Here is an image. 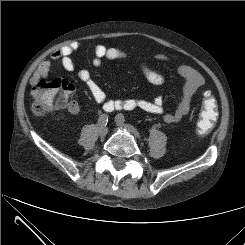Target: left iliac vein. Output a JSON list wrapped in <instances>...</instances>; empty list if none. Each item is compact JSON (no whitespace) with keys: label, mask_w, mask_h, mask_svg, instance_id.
Instances as JSON below:
<instances>
[{"label":"left iliac vein","mask_w":245,"mask_h":245,"mask_svg":"<svg viewBox=\"0 0 245 245\" xmlns=\"http://www.w3.org/2000/svg\"><path fill=\"white\" fill-rule=\"evenodd\" d=\"M115 122L117 125L130 132L135 138H139V133L131 125L125 124L124 120L119 118L118 115L115 117Z\"/></svg>","instance_id":"1"}]
</instances>
